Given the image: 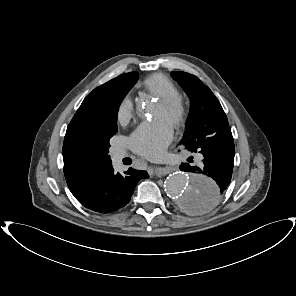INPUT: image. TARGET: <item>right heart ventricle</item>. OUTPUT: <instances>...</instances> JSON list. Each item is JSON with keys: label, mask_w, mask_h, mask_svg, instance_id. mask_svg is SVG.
Listing matches in <instances>:
<instances>
[{"label": "right heart ventricle", "mask_w": 296, "mask_h": 296, "mask_svg": "<svg viewBox=\"0 0 296 296\" xmlns=\"http://www.w3.org/2000/svg\"><path fill=\"white\" fill-rule=\"evenodd\" d=\"M145 90L159 98L179 96L175 83L163 74H152L143 81Z\"/></svg>", "instance_id": "e07e8e85"}]
</instances>
